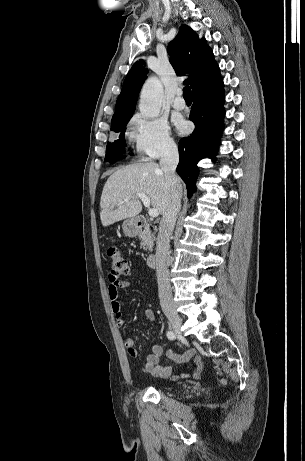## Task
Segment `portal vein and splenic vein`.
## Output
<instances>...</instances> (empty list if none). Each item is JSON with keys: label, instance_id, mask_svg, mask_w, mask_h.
<instances>
[{"label": "portal vein and splenic vein", "instance_id": "1", "mask_svg": "<svg viewBox=\"0 0 305 461\" xmlns=\"http://www.w3.org/2000/svg\"><path fill=\"white\" fill-rule=\"evenodd\" d=\"M136 196H137L138 198H140V200L142 201L143 205L149 209V210H148V214H149L150 217H152V218L158 217V215H159L158 210L155 209V208H150V199L148 198V196H147L146 194H144V193H138V194H136ZM129 199H130V197H126V198L124 199V201H128Z\"/></svg>", "mask_w": 305, "mask_h": 461}]
</instances>
